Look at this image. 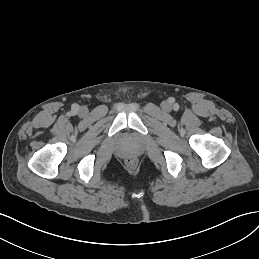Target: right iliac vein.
I'll list each match as a JSON object with an SVG mask.
<instances>
[{
    "instance_id": "1",
    "label": "right iliac vein",
    "mask_w": 259,
    "mask_h": 259,
    "mask_svg": "<svg viewBox=\"0 0 259 259\" xmlns=\"http://www.w3.org/2000/svg\"><path fill=\"white\" fill-rule=\"evenodd\" d=\"M87 113H88L87 107H81V108L79 109V114H80V115L84 116V115H86Z\"/></svg>"
}]
</instances>
